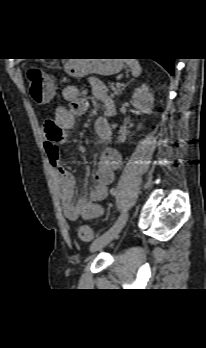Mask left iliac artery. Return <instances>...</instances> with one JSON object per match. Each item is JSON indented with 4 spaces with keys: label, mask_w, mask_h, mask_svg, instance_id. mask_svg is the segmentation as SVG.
<instances>
[{
    "label": "left iliac artery",
    "mask_w": 206,
    "mask_h": 348,
    "mask_svg": "<svg viewBox=\"0 0 206 348\" xmlns=\"http://www.w3.org/2000/svg\"><path fill=\"white\" fill-rule=\"evenodd\" d=\"M111 193H112V194H115L116 192H115V190H111Z\"/></svg>",
    "instance_id": "left-iliac-artery-1"
}]
</instances>
